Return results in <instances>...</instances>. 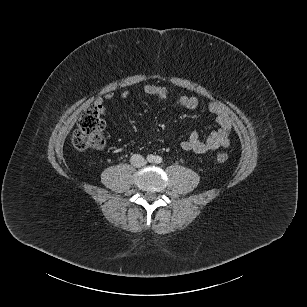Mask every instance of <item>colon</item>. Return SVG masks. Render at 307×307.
<instances>
[{
	"label": "colon",
	"mask_w": 307,
	"mask_h": 307,
	"mask_svg": "<svg viewBox=\"0 0 307 307\" xmlns=\"http://www.w3.org/2000/svg\"><path fill=\"white\" fill-rule=\"evenodd\" d=\"M104 122L100 117L99 109L92 105L81 115L77 127L72 135V144L76 149L86 148L102 149L104 147V137L102 134ZM228 156L224 152L217 154V161L225 163Z\"/></svg>",
	"instance_id": "1"
}]
</instances>
